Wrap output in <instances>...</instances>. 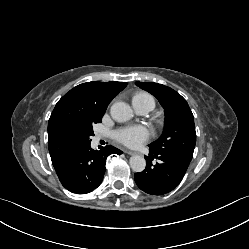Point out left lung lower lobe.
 Segmentation results:
<instances>
[{
    "instance_id": "1",
    "label": "left lung lower lobe",
    "mask_w": 249,
    "mask_h": 249,
    "mask_svg": "<svg viewBox=\"0 0 249 249\" xmlns=\"http://www.w3.org/2000/svg\"><path fill=\"white\" fill-rule=\"evenodd\" d=\"M159 163L152 164V160ZM146 168L135 174V182L144 192L163 195L172 191L183 179L191 161L182 155L159 153L150 149V156H145Z\"/></svg>"
}]
</instances>
